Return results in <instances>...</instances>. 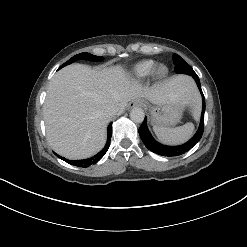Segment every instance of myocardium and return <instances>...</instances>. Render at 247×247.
Returning a JSON list of instances; mask_svg holds the SVG:
<instances>
[{
  "mask_svg": "<svg viewBox=\"0 0 247 247\" xmlns=\"http://www.w3.org/2000/svg\"><path fill=\"white\" fill-rule=\"evenodd\" d=\"M167 74H168V68L163 64L157 66L154 70V75L158 79L165 78Z\"/></svg>",
  "mask_w": 247,
  "mask_h": 247,
  "instance_id": "1",
  "label": "myocardium"
}]
</instances>
